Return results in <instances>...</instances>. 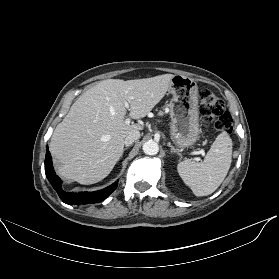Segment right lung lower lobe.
<instances>
[{
    "label": "right lung lower lobe",
    "mask_w": 279,
    "mask_h": 279,
    "mask_svg": "<svg viewBox=\"0 0 279 279\" xmlns=\"http://www.w3.org/2000/svg\"><path fill=\"white\" fill-rule=\"evenodd\" d=\"M45 172L49 182L51 183L52 187L55 189L59 197L62 199V201L70 205L93 204L101 202L105 200L116 189L118 185L116 181L112 185L99 191L79 193L66 192L61 187L62 181L54 172L52 166V157L48 150L46 151L45 157Z\"/></svg>",
    "instance_id": "right-lung-lower-lobe-1"
}]
</instances>
